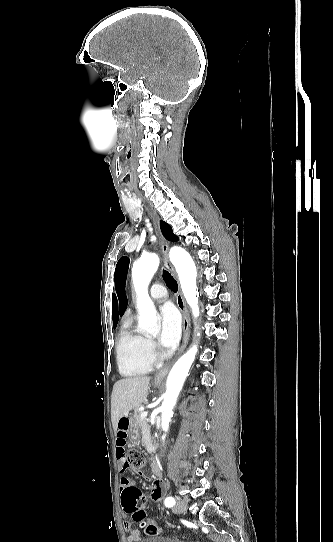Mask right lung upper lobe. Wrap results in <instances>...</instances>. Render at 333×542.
Segmentation results:
<instances>
[{
	"label": "right lung upper lobe",
	"mask_w": 333,
	"mask_h": 542,
	"mask_svg": "<svg viewBox=\"0 0 333 542\" xmlns=\"http://www.w3.org/2000/svg\"><path fill=\"white\" fill-rule=\"evenodd\" d=\"M112 316H113V326H116L118 322V306H117V300H116L115 295H113Z\"/></svg>",
	"instance_id": "cb5924a9"
}]
</instances>
